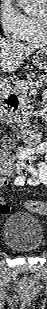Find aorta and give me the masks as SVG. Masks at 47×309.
<instances>
[{
	"label": "aorta",
	"instance_id": "obj_1",
	"mask_svg": "<svg viewBox=\"0 0 47 309\" xmlns=\"http://www.w3.org/2000/svg\"><path fill=\"white\" fill-rule=\"evenodd\" d=\"M25 13L30 14L34 11V8L30 5V0H18Z\"/></svg>",
	"mask_w": 47,
	"mask_h": 309
}]
</instances>
